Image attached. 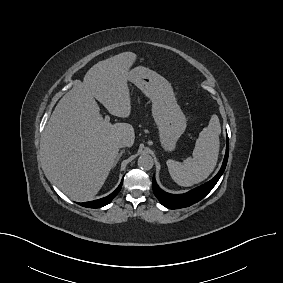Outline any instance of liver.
Segmentation results:
<instances>
[{"instance_id":"liver-1","label":"liver","mask_w":283,"mask_h":283,"mask_svg":"<svg viewBox=\"0 0 283 283\" xmlns=\"http://www.w3.org/2000/svg\"><path fill=\"white\" fill-rule=\"evenodd\" d=\"M137 55L123 52L91 67L55 107L43 134L47 170L70 199H92L103 186L118 156V142L134 143L128 123L111 124L100 114L97 99L114 116L127 118L131 98L129 69Z\"/></svg>"}]
</instances>
